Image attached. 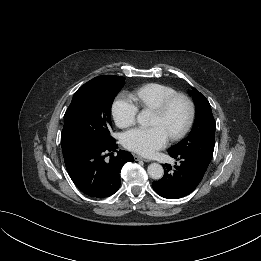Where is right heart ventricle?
<instances>
[{
    "instance_id": "obj_1",
    "label": "right heart ventricle",
    "mask_w": 261,
    "mask_h": 261,
    "mask_svg": "<svg viewBox=\"0 0 261 261\" xmlns=\"http://www.w3.org/2000/svg\"><path fill=\"white\" fill-rule=\"evenodd\" d=\"M177 93V90L171 86L160 83H149L136 89L133 96L142 109L154 110Z\"/></svg>"
}]
</instances>
